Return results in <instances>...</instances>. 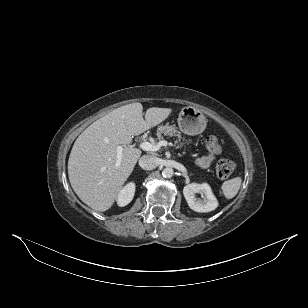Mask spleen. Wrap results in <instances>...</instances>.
Wrapping results in <instances>:
<instances>
[{
    "label": "spleen",
    "mask_w": 308,
    "mask_h": 308,
    "mask_svg": "<svg viewBox=\"0 0 308 308\" xmlns=\"http://www.w3.org/2000/svg\"><path fill=\"white\" fill-rule=\"evenodd\" d=\"M242 179L241 177H235L233 179L225 181L222 186V192L226 199L234 198L240 187H241Z\"/></svg>",
    "instance_id": "3e777b00"
}]
</instances>
